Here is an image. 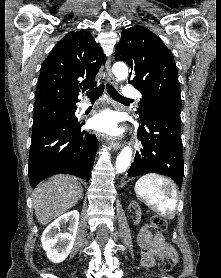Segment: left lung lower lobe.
I'll list each match as a JSON object with an SVG mask.
<instances>
[{
	"mask_svg": "<svg viewBox=\"0 0 221 278\" xmlns=\"http://www.w3.org/2000/svg\"><path fill=\"white\" fill-rule=\"evenodd\" d=\"M138 139L142 147L136 153L128 176L158 173L172 178L181 188L184 162L180 114L156 109L139 119Z\"/></svg>",
	"mask_w": 221,
	"mask_h": 278,
	"instance_id": "left-lung-lower-lobe-1",
	"label": "left lung lower lobe"
}]
</instances>
